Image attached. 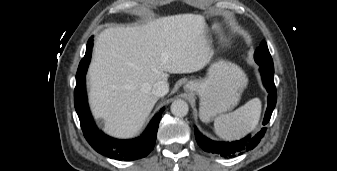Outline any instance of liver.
<instances>
[{
    "instance_id": "liver-1",
    "label": "liver",
    "mask_w": 337,
    "mask_h": 171,
    "mask_svg": "<svg viewBox=\"0 0 337 171\" xmlns=\"http://www.w3.org/2000/svg\"><path fill=\"white\" fill-rule=\"evenodd\" d=\"M204 27L202 16L179 14L99 34L88 73L89 99L109 135L135 136L158 100L153 85L167 82L169 73L204 67L209 50Z\"/></svg>"
}]
</instances>
